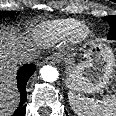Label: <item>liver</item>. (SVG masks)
<instances>
[{
	"label": "liver",
	"mask_w": 116,
	"mask_h": 116,
	"mask_svg": "<svg viewBox=\"0 0 116 116\" xmlns=\"http://www.w3.org/2000/svg\"><path fill=\"white\" fill-rule=\"evenodd\" d=\"M25 49L26 46L15 37H10L6 41L0 37V116H5L12 111L18 102L13 92L12 80L17 56Z\"/></svg>",
	"instance_id": "6515ba94"
}]
</instances>
